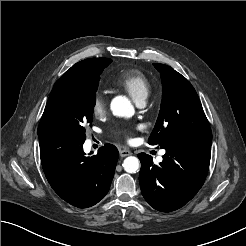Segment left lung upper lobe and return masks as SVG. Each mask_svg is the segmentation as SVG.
Masks as SVG:
<instances>
[{
	"instance_id": "left-lung-upper-lobe-1",
	"label": "left lung upper lobe",
	"mask_w": 246,
	"mask_h": 246,
	"mask_svg": "<svg viewBox=\"0 0 246 246\" xmlns=\"http://www.w3.org/2000/svg\"><path fill=\"white\" fill-rule=\"evenodd\" d=\"M153 65L161 74L163 95L148 143L163 148L176 141H211L208 120L191 83L167 65Z\"/></svg>"
}]
</instances>
